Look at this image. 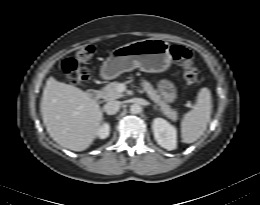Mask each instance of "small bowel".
Here are the masks:
<instances>
[{
    "mask_svg": "<svg viewBox=\"0 0 260 205\" xmlns=\"http://www.w3.org/2000/svg\"><path fill=\"white\" fill-rule=\"evenodd\" d=\"M159 90L162 97L168 101H172L175 97L173 86L168 81H162L159 84Z\"/></svg>",
    "mask_w": 260,
    "mask_h": 205,
    "instance_id": "small-bowel-1",
    "label": "small bowel"
}]
</instances>
